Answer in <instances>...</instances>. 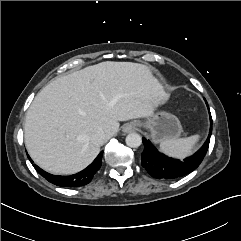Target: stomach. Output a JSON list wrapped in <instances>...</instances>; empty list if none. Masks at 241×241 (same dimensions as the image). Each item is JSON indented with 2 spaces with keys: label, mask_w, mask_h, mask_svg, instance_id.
<instances>
[{
  "label": "stomach",
  "mask_w": 241,
  "mask_h": 241,
  "mask_svg": "<svg viewBox=\"0 0 241 241\" xmlns=\"http://www.w3.org/2000/svg\"><path fill=\"white\" fill-rule=\"evenodd\" d=\"M137 125L144 126L150 131L154 142H162L169 139H177L183 129L179 119L168 112L160 111L146 118L145 123L137 121Z\"/></svg>",
  "instance_id": "0dacf381"
}]
</instances>
